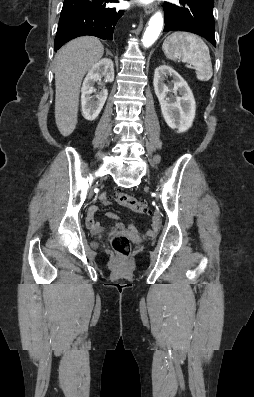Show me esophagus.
Instances as JSON below:
<instances>
[{
	"label": "esophagus",
	"mask_w": 254,
	"mask_h": 397,
	"mask_svg": "<svg viewBox=\"0 0 254 397\" xmlns=\"http://www.w3.org/2000/svg\"><path fill=\"white\" fill-rule=\"evenodd\" d=\"M155 9H156V4H152V5L146 6L144 11L148 15V14L153 13Z\"/></svg>",
	"instance_id": "obj_1"
}]
</instances>
